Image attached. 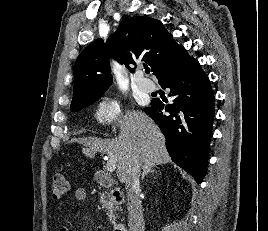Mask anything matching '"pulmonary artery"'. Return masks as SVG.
I'll return each instance as SVG.
<instances>
[{
    "mask_svg": "<svg viewBox=\"0 0 268 231\" xmlns=\"http://www.w3.org/2000/svg\"><path fill=\"white\" fill-rule=\"evenodd\" d=\"M135 82L137 88L144 93L152 92L154 89V84L147 78L143 77L141 74L135 77Z\"/></svg>",
    "mask_w": 268,
    "mask_h": 231,
    "instance_id": "pulmonary-artery-1",
    "label": "pulmonary artery"
}]
</instances>
